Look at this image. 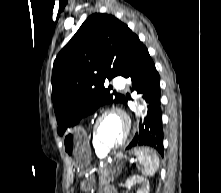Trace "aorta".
<instances>
[{
  "label": "aorta",
  "instance_id": "762f6f07",
  "mask_svg": "<svg viewBox=\"0 0 221 193\" xmlns=\"http://www.w3.org/2000/svg\"><path fill=\"white\" fill-rule=\"evenodd\" d=\"M138 109H139L140 112H142V110L144 109V107H143V106H139Z\"/></svg>",
  "mask_w": 221,
  "mask_h": 193
}]
</instances>
